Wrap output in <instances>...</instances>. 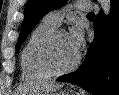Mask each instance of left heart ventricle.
Wrapping results in <instances>:
<instances>
[{"label":"left heart ventricle","mask_w":119,"mask_h":95,"mask_svg":"<svg viewBox=\"0 0 119 95\" xmlns=\"http://www.w3.org/2000/svg\"><path fill=\"white\" fill-rule=\"evenodd\" d=\"M77 52L71 46L68 34L60 33L53 45L52 60L57 68H65L71 65L77 57Z\"/></svg>","instance_id":"b2bd125f"}]
</instances>
